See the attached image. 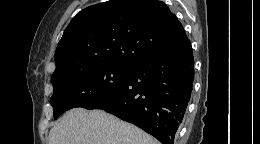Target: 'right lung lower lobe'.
<instances>
[{"mask_svg":"<svg viewBox=\"0 0 260 144\" xmlns=\"http://www.w3.org/2000/svg\"><path fill=\"white\" fill-rule=\"evenodd\" d=\"M194 57L189 39L130 66L126 83L86 109H102L133 123L162 144H174L190 100Z\"/></svg>","mask_w":260,"mask_h":144,"instance_id":"obj_1","label":"right lung lower lobe"}]
</instances>
